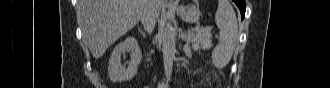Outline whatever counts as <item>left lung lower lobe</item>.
<instances>
[{
    "instance_id": "left-lung-lower-lobe-1",
    "label": "left lung lower lobe",
    "mask_w": 330,
    "mask_h": 88,
    "mask_svg": "<svg viewBox=\"0 0 330 88\" xmlns=\"http://www.w3.org/2000/svg\"><path fill=\"white\" fill-rule=\"evenodd\" d=\"M237 6L239 7L240 9V12H241V16H242V19L245 17V10H246V7H245V0H233Z\"/></svg>"
}]
</instances>
